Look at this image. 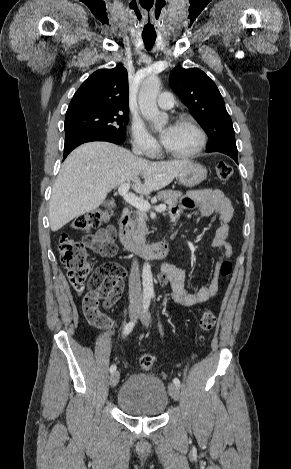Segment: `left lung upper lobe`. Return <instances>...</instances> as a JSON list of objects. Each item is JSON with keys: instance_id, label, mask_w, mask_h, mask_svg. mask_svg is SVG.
<instances>
[{"instance_id": "left-lung-upper-lobe-1", "label": "left lung upper lobe", "mask_w": 291, "mask_h": 469, "mask_svg": "<svg viewBox=\"0 0 291 469\" xmlns=\"http://www.w3.org/2000/svg\"><path fill=\"white\" fill-rule=\"evenodd\" d=\"M169 84L207 132L209 144L206 150L237 148L224 100L216 84L202 70L177 66L170 74Z\"/></svg>"}]
</instances>
